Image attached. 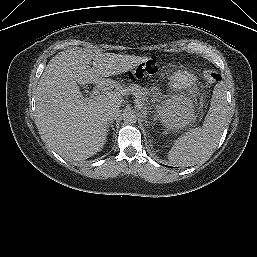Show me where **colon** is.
I'll return each instance as SVG.
<instances>
[{
    "mask_svg": "<svg viewBox=\"0 0 257 257\" xmlns=\"http://www.w3.org/2000/svg\"><path fill=\"white\" fill-rule=\"evenodd\" d=\"M157 71V63L155 61H147L130 71L127 74V78L130 80L143 79L156 74ZM204 79L207 84H214L221 80V75L215 70L209 69L204 72Z\"/></svg>",
    "mask_w": 257,
    "mask_h": 257,
    "instance_id": "colon-1",
    "label": "colon"
}]
</instances>
